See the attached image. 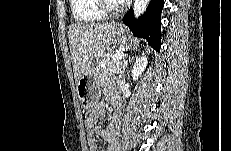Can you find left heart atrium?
Segmentation results:
<instances>
[{"label": "left heart atrium", "instance_id": "left-heart-atrium-1", "mask_svg": "<svg viewBox=\"0 0 231 151\" xmlns=\"http://www.w3.org/2000/svg\"><path fill=\"white\" fill-rule=\"evenodd\" d=\"M118 3H128L129 0H116Z\"/></svg>", "mask_w": 231, "mask_h": 151}]
</instances>
